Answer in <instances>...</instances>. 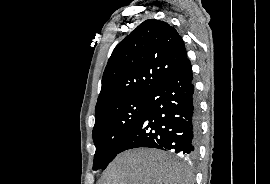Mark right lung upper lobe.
<instances>
[{"mask_svg": "<svg viewBox=\"0 0 270 184\" xmlns=\"http://www.w3.org/2000/svg\"><path fill=\"white\" fill-rule=\"evenodd\" d=\"M187 60L184 42L168 23L149 19L113 50L102 78L96 119L110 106L147 96Z\"/></svg>", "mask_w": 270, "mask_h": 184, "instance_id": "obj_1", "label": "right lung upper lobe"}]
</instances>
